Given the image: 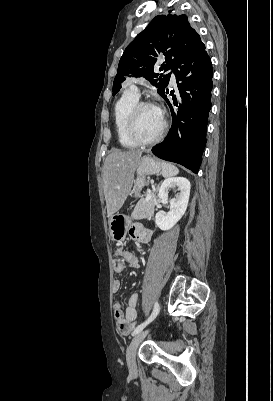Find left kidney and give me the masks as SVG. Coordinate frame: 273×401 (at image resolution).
<instances>
[{
    "label": "left kidney",
    "instance_id": "left-kidney-1",
    "mask_svg": "<svg viewBox=\"0 0 273 401\" xmlns=\"http://www.w3.org/2000/svg\"><path fill=\"white\" fill-rule=\"evenodd\" d=\"M173 186H178V194H176L175 198H170V211L169 213H156L155 223L161 231H169L172 229L180 219H182L183 215H185V211L187 209L189 194L191 184L188 178L185 176H174V178H165L164 182H162L158 196L159 198H168L170 188Z\"/></svg>",
    "mask_w": 273,
    "mask_h": 401
}]
</instances>
